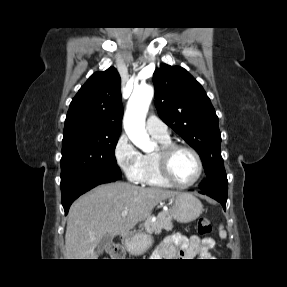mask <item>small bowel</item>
I'll list each match as a JSON object with an SVG mask.
<instances>
[{
  "label": "small bowel",
  "instance_id": "obj_1",
  "mask_svg": "<svg viewBox=\"0 0 287 287\" xmlns=\"http://www.w3.org/2000/svg\"><path fill=\"white\" fill-rule=\"evenodd\" d=\"M215 245L216 242L213 238L201 239L198 236H192L188 239L184 235L176 233L168 236L162 242L154 257L193 259L199 256L201 258H208L210 257V250Z\"/></svg>",
  "mask_w": 287,
  "mask_h": 287
}]
</instances>
